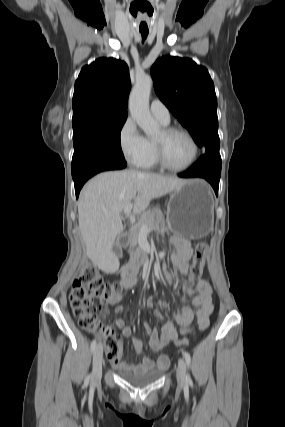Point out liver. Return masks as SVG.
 <instances>
[{
    "label": "liver",
    "instance_id": "6515ba94",
    "mask_svg": "<svg viewBox=\"0 0 285 427\" xmlns=\"http://www.w3.org/2000/svg\"><path fill=\"white\" fill-rule=\"evenodd\" d=\"M187 181L136 170L104 172L92 178L81 190L78 219L88 258L104 268L116 256L112 251L115 238L123 232L121 213L134 202L140 213L151 200L170 193Z\"/></svg>",
    "mask_w": 285,
    "mask_h": 427
}]
</instances>
